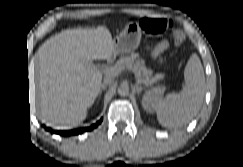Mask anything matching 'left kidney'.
<instances>
[{"label":"left kidney","mask_w":243,"mask_h":167,"mask_svg":"<svg viewBox=\"0 0 243 167\" xmlns=\"http://www.w3.org/2000/svg\"><path fill=\"white\" fill-rule=\"evenodd\" d=\"M163 94V89L160 87L153 88L149 91H147L142 100L143 107L150 111L153 106L160 100L161 96Z\"/></svg>","instance_id":"obj_1"}]
</instances>
